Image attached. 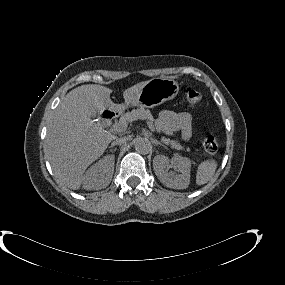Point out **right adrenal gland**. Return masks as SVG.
<instances>
[{
  "label": "right adrenal gland",
  "mask_w": 285,
  "mask_h": 285,
  "mask_svg": "<svg viewBox=\"0 0 285 285\" xmlns=\"http://www.w3.org/2000/svg\"><path fill=\"white\" fill-rule=\"evenodd\" d=\"M114 146V144H112L110 147H113Z\"/></svg>",
  "instance_id": "2a0ac1e0"
}]
</instances>
